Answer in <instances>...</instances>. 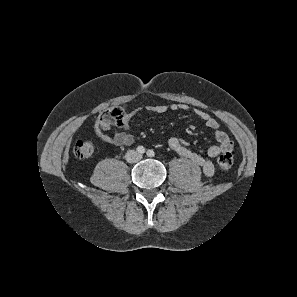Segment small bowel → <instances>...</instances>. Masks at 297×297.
Returning <instances> with one entry per match:
<instances>
[{
	"mask_svg": "<svg viewBox=\"0 0 297 297\" xmlns=\"http://www.w3.org/2000/svg\"><path fill=\"white\" fill-rule=\"evenodd\" d=\"M147 110L162 114L168 111H191L195 116L203 120L208 128L214 131V137L216 144L212 145L208 151L207 156L200 155L192 151L188 147V143L182 138L172 137L168 140L169 147L176 152L179 156L190 160L196 166H199L205 176H212L214 173V165L210 159L217 157L220 154L231 152L233 149V143L226 132L220 129V125L217 119H215L210 113L195 107H191L187 104H169V105H155L147 107ZM130 117L131 114H127L122 127L125 131L115 132L113 135L105 133L98 123L95 125V132L97 136L108 143L116 146H130L134 143L135 138L130 133Z\"/></svg>",
	"mask_w": 297,
	"mask_h": 297,
	"instance_id": "obj_1",
	"label": "small bowel"
}]
</instances>
